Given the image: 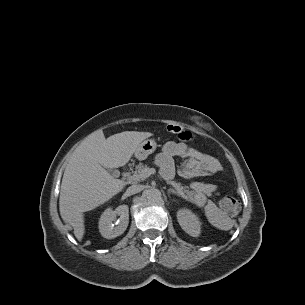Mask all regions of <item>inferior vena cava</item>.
<instances>
[{"mask_svg": "<svg viewBox=\"0 0 305 305\" xmlns=\"http://www.w3.org/2000/svg\"><path fill=\"white\" fill-rule=\"evenodd\" d=\"M143 190V186L142 185H132L130 187L127 188L125 195L126 196H131L133 194H137L139 192H141Z\"/></svg>", "mask_w": 305, "mask_h": 305, "instance_id": "obj_1", "label": "inferior vena cava"}]
</instances>
